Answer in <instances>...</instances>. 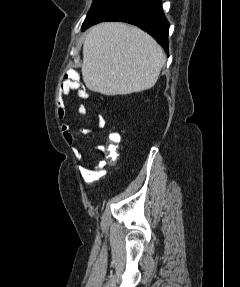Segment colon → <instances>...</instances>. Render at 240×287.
<instances>
[{"instance_id":"obj_1","label":"colon","mask_w":240,"mask_h":287,"mask_svg":"<svg viewBox=\"0 0 240 287\" xmlns=\"http://www.w3.org/2000/svg\"><path fill=\"white\" fill-rule=\"evenodd\" d=\"M67 78V76H66ZM122 138L121 135L117 132H113L109 135V147H108V158L114 160L117 157V149L121 142ZM106 162L103 161L100 163L99 168L97 169H83L82 175L87 181H93L99 178L103 174V167L105 166Z\"/></svg>"}]
</instances>
